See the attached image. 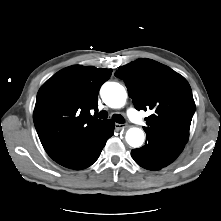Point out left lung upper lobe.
I'll use <instances>...</instances> for the list:
<instances>
[{"label":"left lung upper lobe","instance_id":"1","mask_svg":"<svg viewBox=\"0 0 221 221\" xmlns=\"http://www.w3.org/2000/svg\"><path fill=\"white\" fill-rule=\"evenodd\" d=\"M115 76L124 80L137 110H152V115L145 118L147 126L143 127L147 138L181 152L196 110L186 79L171 68L146 58L120 67Z\"/></svg>","mask_w":221,"mask_h":221}]
</instances>
